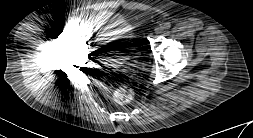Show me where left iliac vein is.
<instances>
[{
    "mask_svg": "<svg viewBox=\"0 0 253 138\" xmlns=\"http://www.w3.org/2000/svg\"><path fill=\"white\" fill-rule=\"evenodd\" d=\"M161 32V28H158L157 30H156V33H160Z\"/></svg>",
    "mask_w": 253,
    "mask_h": 138,
    "instance_id": "left-iliac-vein-1",
    "label": "left iliac vein"
}]
</instances>
